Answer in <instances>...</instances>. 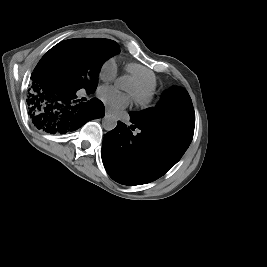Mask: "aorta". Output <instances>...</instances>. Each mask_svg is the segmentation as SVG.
Listing matches in <instances>:
<instances>
[{
    "label": "aorta",
    "instance_id": "aorta-1",
    "mask_svg": "<svg viewBox=\"0 0 267 267\" xmlns=\"http://www.w3.org/2000/svg\"><path fill=\"white\" fill-rule=\"evenodd\" d=\"M126 81V76L120 77L117 80V86L122 90L126 89ZM102 125L105 130L111 131L117 126V119L113 115H106L102 120Z\"/></svg>",
    "mask_w": 267,
    "mask_h": 267
}]
</instances>
